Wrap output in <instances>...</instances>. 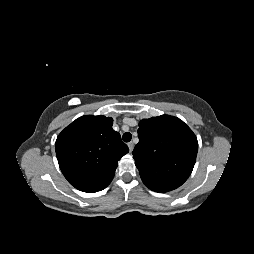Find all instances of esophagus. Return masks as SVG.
Listing matches in <instances>:
<instances>
[{"label":"esophagus","mask_w":254,"mask_h":254,"mask_svg":"<svg viewBox=\"0 0 254 254\" xmlns=\"http://www.w3.org/2000/svg\"><path fill=\"white\" fill-rule=\"evenodd\" d=\"M128 147H129L130 152H132L133 148H134V143L133 142H129L128 143Z\"/></svg>","instance_id":"1"}]
</instances>
